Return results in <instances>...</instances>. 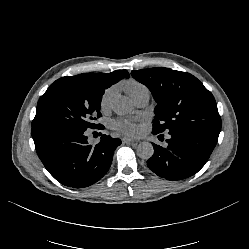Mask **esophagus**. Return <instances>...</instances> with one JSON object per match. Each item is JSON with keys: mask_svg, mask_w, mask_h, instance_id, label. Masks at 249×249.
Listing matches in <instances>:
<instances>
[{"mask_svg": "<svg viewBox=\"0 0 249 249\" xmlns=\"http://www.w3.org/2000/svg\"><path fill=\"white\" fill-rule=\"evenodd\" d=\"M133 140L131 139V138H129V137H123L122 138V142L123 143H130V142H132Z\"/></svg>", "mask_w": 249, "mask_h": 249, "instance_id": "esophagus-1", "label": "esophagus"}]
</instances>
